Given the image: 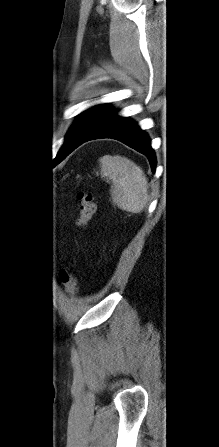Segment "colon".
Segmentation results:
<instances>
[{
	"label": "colon",
	"mask_w": 219,
	"mask_h": 447,
	"mask_svg": "<svg viewBox=\"0 0 219 447\" xmlns=\"http://www.w3.org/2000/svg\"><path fill=\"white\" fill-rule=\"evenodd\" d=\"M79 201V215L77 225L79 228H85L91 221L95 213V203L91 192L80 191L78 193ZM60 279L65 290L70 295H75L78 292L77 277L71 269L64 268L60 272Z\"/></svg>",
	"instance_id": "1"
}]
</instances>
